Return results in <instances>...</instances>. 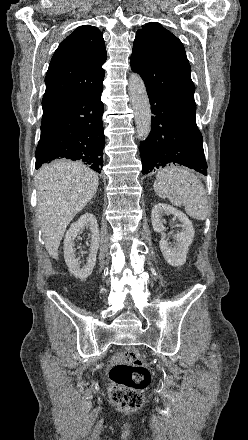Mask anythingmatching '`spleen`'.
<instances>
[{"mask_svg":"<svg viewBox=\"0 0 248 440\" xmlns=\"http://www.w3.org/2000/svg\"><path fill=\"white\" fill-rule=\"evenodd\" d=\"M154 190L161 198H168L175 206L183 205L186 213L197 220L208 215V200L200 179L183 167L161 169L154 182Z\"/></svg>","mask_w":248,"mask_h":440,"instance_id":"1","label":"spleen"}]
</instances>
